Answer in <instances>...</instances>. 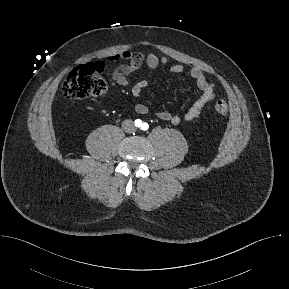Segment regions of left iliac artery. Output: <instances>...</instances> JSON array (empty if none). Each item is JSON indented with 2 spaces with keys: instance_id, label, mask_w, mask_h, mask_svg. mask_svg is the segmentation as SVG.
I'll return each instance as SVG.
<instances>
[{
  "instance_id": "1",
  "label": "left iliac artery",
  "mask_w": 289,
  "mask_h": 289,
  "mask_svg": "<svg viewBox=\"0 0 289 289\" xmlns=\"http://www.w3.org/2000/svg\"><path fill=\"white\" fill-rule=\"evenodd\" d=\"M149 125L147 123L142 124V130H147Z\"/></svg>"
}]
</instances>
